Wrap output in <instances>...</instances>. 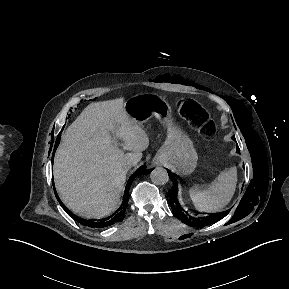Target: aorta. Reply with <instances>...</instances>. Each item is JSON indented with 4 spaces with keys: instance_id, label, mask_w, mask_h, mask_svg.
Segmentation results:
<instances>
[{
    "instance_id": "762f6f07",
    "label": "aorta",
    "mask_w": 289,
    "mask_h": 289,
    "mask_svg": "<svg viewBox=\"0 0 289 289\" xmlns=\"http://www.w3.org/2000/svg\"><path fill=\"white\" fill-rule=\"evenodd\" d=\"M151 181L156 185H164L168 182L169 176L166 169L157 167L150 173Z\"/></svg>"
}]
</instances>
